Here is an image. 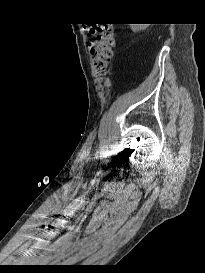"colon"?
Listing matches in <instances>:
<instances>
[{
    "instance_id": "5ec220e1",
    "label": "colon",
    "mask_w": 205,
    "mask_h": 273,
    "mask_svg": "<svg viewBox=\"0 0 205 273\" xmlns=\"http://www.w3.org/2000/svg\"><path fill=\"white\" fill-rule=\"evenodd\" d=\"M94 38L89 42L90 57L97 76H104L111 62L115 44L112 24L96 25Z\"/></svg>"
}]
</instances>
